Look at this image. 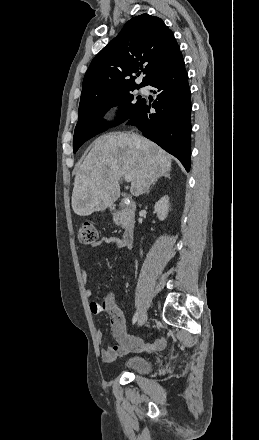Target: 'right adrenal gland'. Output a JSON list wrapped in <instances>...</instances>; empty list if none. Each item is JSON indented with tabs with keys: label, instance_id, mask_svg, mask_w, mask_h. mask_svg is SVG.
<instances>
[{
	"label": "right adrenal gland",
	"instance_id": "right-adrenal-gland-1",
	"mask_svg": "<svg viewBox=\"0 0 259 440\" xmlns=\"http://www.w3.org/2000/svg\"><path fill=\"white\" fill-rule=\"evenodd\" d=\"M162 177H166V178H170V173L167 172L164 175H162ZM158 179H156L153 183L152 186L155 185V183L157 182ZM150 189L147 190V193H149Z\"/></svg>",
	"mask_w": 259,
	"mask_h": 440
}]
</instances>
